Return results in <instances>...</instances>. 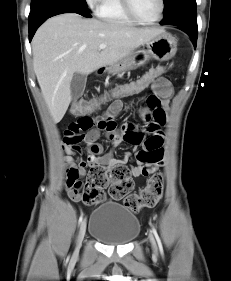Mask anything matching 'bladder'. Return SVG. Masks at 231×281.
<instances>
[{
	"instance_id": "bladder-1",
	"label": "bladder",
	"mask_w": 231,
	"mask_h": 281,
	"mask_svg": "<svg viewBox=\"0 0 231 281\" xmlns=\"http://www.w3.org/2000/svg\"><path fill=\"white\" fill-rule=\"evenodd\" d=\"M89 234L106 245H126L140 232L138 218L119 203L106 202L91 214Z\"/></svg>"
}]
</instances>
